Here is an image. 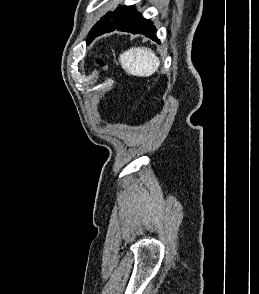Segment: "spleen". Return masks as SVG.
Returning <instances> with one entry per match:
<instances>
[{"mask_svg":"<svg viewBox=\"0 0 259 294\" xmlns=\"http://www.w3.org/2000/svg\"><path fill=\"white\" fill-rule=\"evenodd\" d=\"M119 63L130 75L148 77L158 70L160 60L150 48L132 47L120 55Z\"/></svg>","mask_w":259,"mask_h":294,"instance_id":"spleen-1","label":"spleen"}]
</instances>
